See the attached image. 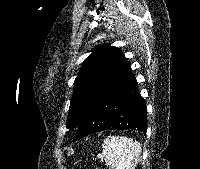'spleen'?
<instances>
[{
    "label": "spleen",
    "instance_id": "3e777b00",
    "mask_svg": "<svg viewBox=\"0 0 200 169\" xmlns=\"http://www.w3.org/2000/svg\"><path fill=\"white\" fill-rule=\"evenodd\" d=\"M102 148L99 156L111 169H135L141 154L140 143L125 136L106 137Z\"/></svg>",
    "mask_w": 200,
    "mask_h": 169
}]
</instances>
